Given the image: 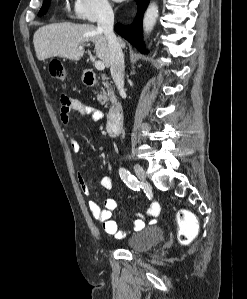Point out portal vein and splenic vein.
<instances>
[{"instance_id":"1","label":"portal vein and splenic vein","mask_w":247,"mask_h":299,"mask_svg":"<svg viewBox=\"0 0 247 299\" xmlns=\"http://www.w3.org/2000/svg\"><path fill=\"white\" fill-rule=\"evenodd\" d=\"M80 49H82V47H80ZM95 68L99 71H102L105 69V65L102 61H95V64H94Z\"/></svg>"}]
</instances>
